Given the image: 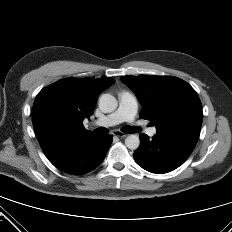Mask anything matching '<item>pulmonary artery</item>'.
<instances>
[{
  "label": "pulmonary artery",
  "instance_id": "pulmonary-artery-1",
  "mask_svg": "<svg viewBox=\"0 0 232 232\" xmlns=\"http://www.w3.org/2000/svg\"><path fill=\"white\" fill-rule=\"evenodd\" d=\"M119 105L116 111L113 113L101 117L92 122L94 126L110 127L115 126L123 122H134L138 112V100L134 94L128 91H122L118 96ZM157 133L155 127L149 128L147 134L154 136Z\"/></svg>",
  "mask_w": 232,
  "mask_h": 232
}]
</instances>
